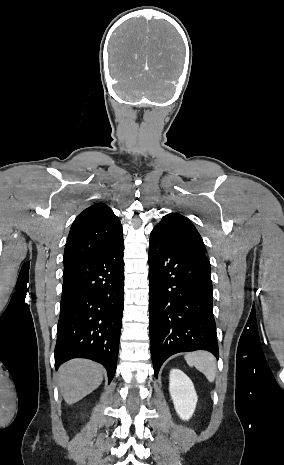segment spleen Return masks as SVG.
Segmentation results:
<instances>
[{"label": "spleen", "mask_w": 284, "mask_h": 465, "mask_svg": "<svg viewBox=\"0 0 284 465\" xmlns=\"http://www.w3.org/2000/svg\"><path fill=\"white\" fill-rule=\"evenodd\" d=\"M184 359L189 367H196L200 373H203L210 383L215 381L216 361L211 353L196 351V353H187Z\"/></svg>", "instance_id": "spleen-1"}]
</instances>
